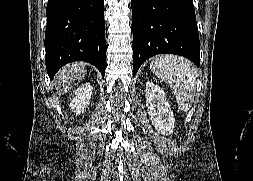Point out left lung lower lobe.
I'll use <instances>...</instances> for the list:
<instances>
[{
	"instance_id": "obj_1",
	"label": "left lung lower lobe",
	"mask_w": 253,
	"mask_h": 181,
	"mask_svg": "<svg viewBox=\"0 0 253 181\" xmlns=\"http://www.w3.org/2000/svg\"><path fill=\"white\" fill-rule=\"evenodd\" d=\"M133 75L161 53L184 56L199 67L200 44L192 0H132Z\"/></svg>"
}]
</instances>
